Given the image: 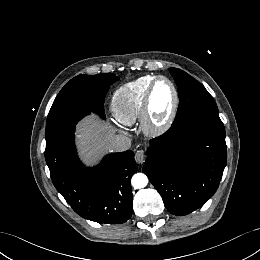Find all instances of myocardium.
Listing matches in <instances>:
<instances>
[{
  "label": "myocardium",
  "instance_id": "obj_1",
  "mask_svg": "<svg viewBox=\"0 0 260 260\" xmlns=\"http://www.w3.org/2000/svg\"><path fill=\"white\" fill-rule=\"evenodd\" d=\"M160 81H165L170 85L174 95V104L168 119L164 123L157 125L154 124L152 121L151 102H152V96L155 91V88ZM179 107H180V96L174 82L164 76L156 77L153 80V82L150 84L145 94L143 105H142L140 124L144 134L150 137H157L166 133L174 124L178 115Z\"/></svg>",
  "mask_w": 260,
  "mask_h": 260
}]
</instances>
